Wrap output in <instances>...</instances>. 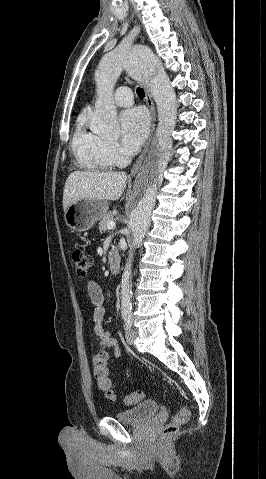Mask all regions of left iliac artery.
Returning a JSON list of instances; mask_svg holds the SVG:
<instances>
[{"label":"left iliac artery","mask_w":266,"mask_h":479,"mask_svg":"<svg viewBox=\"0 0 266 479\" xmlns=\"http://www.w3.org/2000/svg\"><path fill=\"white\" fill-rule=\"evenodd\" d=\"M123 319H124V323H125V330H128L131 328L132 326V315L131 313H124L123 314Z\"/></svg>","instance_id":"1"}]
</instances>
